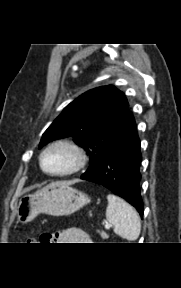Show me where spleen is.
Listing matches in <instances>:
<instances>
[{
	"instance_id": "spleen-1",
	"label": "spleen",
	"mask_w": 181,
	"mask_h": 288,
	"mask_svg": "<svg viewBox=\"0 0 181 288\" xmlns=\"http://www.w3.org/2000/svg\"><path fill=\"white\" fill-rule=\"evenodd\" d=\"M106 218L113 225L114 232L129 240H136L141 231L140 218L136 210L121 198L108 194Z\"/></svg>"
}]
</instances>
